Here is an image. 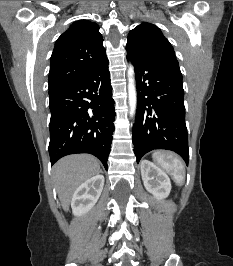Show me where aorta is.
<instances>
[{
  "instance_id": "762f6f07",
  "label": "aorta",
  "mask_w": 233,
  "mask_h": 266,
  "mask_svg": "<svg viewBox=\"0 0 233 266\" xmlns=\"http://www.w3.org/2000/svg\"><path fill=\"white\" fill-rule=\"evenodd\" d=\"M127 76H128V98H129L130 116H133L136 112V106H137V92L135 84L134 67L132 65H130L128 68Z\"/></svg>"
}]
</instances>
